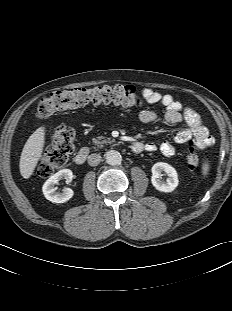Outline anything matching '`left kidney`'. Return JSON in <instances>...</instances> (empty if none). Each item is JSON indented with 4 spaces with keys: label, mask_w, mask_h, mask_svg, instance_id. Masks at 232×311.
Returning a JSON list of instances; mask_svg holds the SVG:
<instances>
[{
    "label": "left kidney",
    "mask_w": 232,
    "mask_h": 311,
    "mask_svg": "<svg viewBox=\"0 0 232 311\" xmlns=\"http://www.w3.org/2000/svg\"><path fill=\"white\" fill-rule=\"evenodd\" d=\"M151 182L152 185L161 192H172L178 186L179 180L177 171L168 163L157 162L153 165ZM162 172L168 176L166 182L161 180Z\"/></svg>",
    "instance_id": "left-kidney-1"
}]
</instances>
